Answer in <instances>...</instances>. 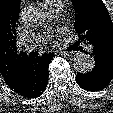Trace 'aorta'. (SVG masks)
Here are the masks:
<instances>
[{"label":"aorta","instance_id":"obj_1","mask_svg":"<svg viewBox=\"0 0 113 113\" xmlns=\"http://www.w3.org/2000/svg\"><path fill=\"white\" fill-rule=\"evenodd\" d=\"M24 18L34 19L36 17V12L33 10H26L23 12ZM95 60L92 56L80 53L73 59L74 69L81 74L91 72L94 68Z\"/></svg>","mask_w":113,"mask_h":113}]
</instances>
